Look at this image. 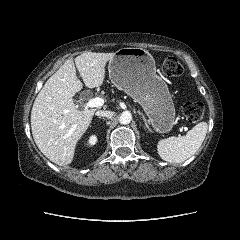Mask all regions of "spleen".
I'll list each match as a JSON object with an SVG mask.
<instances>
[{
    "label": "spleen",
    "instance_id": "3e777b00",
    "mask_svg": "<svg viewBox=\"0 0 240 240\" xmlns=\"http://www.w3.org/2000/svg\"><path fill=\"white\" fill-rule=\"evenodd\" d=\"M208 124L200 122L194 126L186 136L161 139L157 144L159 156L170 163H182L202 145L207 134Z\"/></svg>",
    "mask_w": 240,
    "mask_h": 240
}]
</instances>
